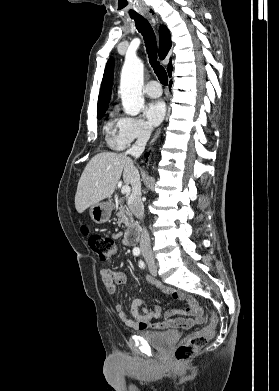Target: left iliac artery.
Masks as SVG:
<instances>
[{
	"mask_svg": "<svg viewBox=\"0 0 279 391\" xmlns=\"http://www.w3.org/2000/svg\"><path fill=\"white\" fill-rule=\"evenodd\" d=\"M140 267H144V263L142 261L139 262Z\"/></svg>",
	"mask_w": 279,
	"mask_h": 391,
	"instance_id": "44dca946",
	"label": "left iliac artery"
}]
</instances>
